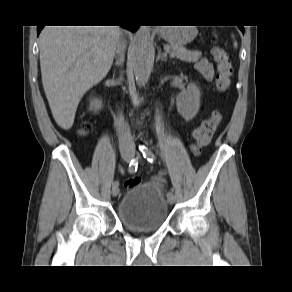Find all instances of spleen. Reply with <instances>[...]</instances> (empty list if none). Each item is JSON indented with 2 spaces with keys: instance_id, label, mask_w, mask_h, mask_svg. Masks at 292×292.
Listing matches in <instances>:
<instances>
[{
  "instance_id": "3e777b00",
  "label": "spleen",
  "mask_w": 292,
  "mask_h": 292,
  "mask_svg": "<svg viewBox=\"0 0 292 292\" xmlns=\"http://www.w3.org/2000/svg\"><path fill=\"white\" fill-rule=\"evenodd\" d=\"M234 47H237V43L236 42H234Z\"/></svg>"
}]
</instances>
